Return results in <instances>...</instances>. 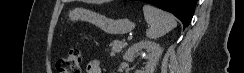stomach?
Returning a JSON list of instances; mask_svg holds the SVG:
<instances>
[{
    "label": "stomach",
    "instance_id": "obj_1",
    "mask_svg": "<svg viewBox=\"0 0 244 73\" xmlns=\"http://www.w3.org/2000/svg\"><path fill=\"white\" fill-rule=\"evenodd\" d=\"M69 20L87 21L99 27L101 30L112 35H122L131 32L135 24L127 18L114 19L94 11L75 8L69 11Z\"/></svg>",
    "mask_w": 244,
    "mask_h": 73
}]
</instances>
